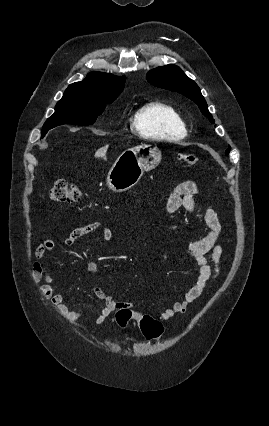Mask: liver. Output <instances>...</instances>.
Instances as JSON below:
<instances>
[{"mask_svg": "<svg viewBox=\"0 0 269 426\" xmlns=\"http://www.w3.org/2000/svg\"><path fill=\"white\" fill-rule=\"evenodd\" d=\"M107 149H108L107 147H103V148L97 150L96 153H95V157H101L104 160H107V157H106Z\"/></svg>", "mask_w": 269, "mask_h": 426, "instance_id": "liver-1", "label": "liver"}]
</instances>
